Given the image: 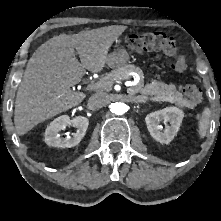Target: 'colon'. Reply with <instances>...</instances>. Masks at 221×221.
Segmentation results:
<instances>
[{
    "mask_svg": "<svg viewBox=\"0 0 221 221\" xmlns=\"http://www.w3.org/2000/svg\"><path fill=\"white\" fill-rule=\"evenodd\" d=\"M127 44L132 50L139 53L154 50L171 57V68L177 73H185L188 70L187 60L178 53L176 41L162 32H143L131 35ZM181 91L189 104L202 103V92L195 84H184L181 86Z\"/></svg>",
    "mask_w": 221,
    "mask_h": 221,
    "instance_id": "obj_1",
    "label": "colon"
}]
</instances>
